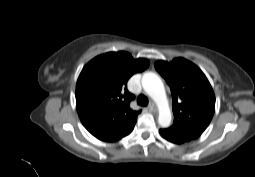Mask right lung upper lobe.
Segmentation results:
<instances>
[{
    "instance_id": "obj_1",
    "label": "right lung upper lobe",
    "mask_w": 255,
    "mask_h": 177,
    "mask_svg": "<svg viewBox=\"0 0 255 177\" xmlns=\"http://www.w3.org/2000/svg\"><path fill=\"white\" fill-rule=\"evenodd\" d=\"M148 66L147 59L123 51L102 54L84 66L76 84V108L93 136L104 141L137 119L140 111L129 106L134 95L127 82Z\"/></svg>"
}]
</instances>
